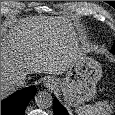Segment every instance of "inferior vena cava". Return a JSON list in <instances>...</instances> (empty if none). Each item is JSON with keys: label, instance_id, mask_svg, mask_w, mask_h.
Returning a JSON list of instances; mask_svg holds the SVG:
<instances>
[{"label": "inferior vena cava", "instance_id": "inferior-vena-cava-1", "mask_svg": "<svg viewBox=\"0 0 115 115\" xmlns=\"http://www.w3.org/2000/svg\"><path fill=\"white\" fill-rule=\"evenodd\" d=\"M26 79H27V76L25 74H21L14 79V84L17 87H22L26 84Z\"/></svg>", "mask_w": 115, "mask_h": 115}]
</instances>
